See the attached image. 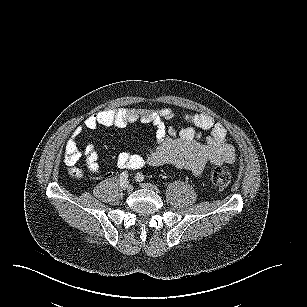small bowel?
Here are the masks:
<instances>
[{
    "instance_id": "1",
    "label": "small bowel",
    "mask_w": 307,
    "mask_h": 307,
    "mask_svg": "<svg viewBox=\"0 0 307 307\" xmlns=\"http://www.w3.org/2000/svg\"><path fill=\"white\" fill-rule=\"evenodd\" d=\"M174 112L170 108L157 110L145 108H120L104 110L90 115L84 121L87 129L98 127L123 128L130 123L141 121L152 124L156 128L157 144L149 148L144 155L129 151L120 152L116 164L120 169H140L146 164L153 166L168 165L177 169H186L194 175L201 176L214 165L233 163L236 159L234 147L229 143L227 130L207 113L185 115L184 119L190 124L188 127L176 129L167 126L172 120ZM199 130H209L207 137H203ZM82 134L76 129L67 140L64 152L65 164L72 166L81 158L77 140ZM88 170L98 175L100 164L96 148L89 144L84 150Z\"/></svg>"
}]
</instances>
